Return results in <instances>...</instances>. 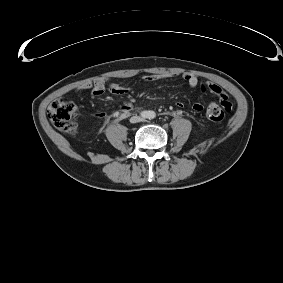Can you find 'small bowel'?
Wrapping results in <instances>:
<instances>
[{
	"mask_svg": "<svg viewBox=\"0 0 283 283\" xmlns=\"http://www.w3.org/2000/svg\"><path fill=\"white\" fill-rule=\"evenodd\" d=\"M181 77L188 84L189 87L196 88V87L199 86V80L195 75L190 74V73H185V74L181 75ZM162 78H164V77L158 76V75H152V76H148L147 78H145V80L146 81H154V80H159V79H162ZM200 88H201L202 92H205L207 90L210 91L212 94L217 96L220 101H223V97L227 96L226 93L223 91V89L220 86H218L217 84H214V83L201 84ZM131 89L132 88L128 85H119V84L112 83V82L109 83V82L105 81L104 79H96L94 81H91L89 83H86V84L80 86L78 90H90L91 95L93 97H100L107 90L109 92H111L112 94H115V95H127L131 92ZM176 105H177L178 108L183 107L182 102H177ZM135 108L136 107L133 104L125 103L120 108V111L116 113V115L118 116L120 114L122 116H125V115L129 114L131 111H133ZM204 108H205V104L202 103V102H197L193 105V109L196 112H201V111L204 110ZM96 116H98L100 118H107L108 113L100 112Z\"/></svg>",
	"mask_w": 283,
	"mask_h": 283,
	"instance_id": "small-bowel-1",
	"label": "small bowel"
}]
</instances>
